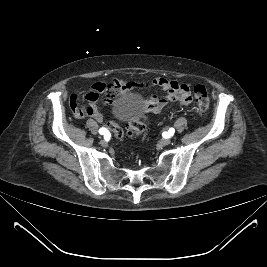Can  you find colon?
<instances>
[{
    "mask_svg": "<svg viewBox=\"0 0 267 267\" xmlns=\"http://www.w3.org/2000/svg\"><path fill=\"white\" fill-rule=\"evenodd\" d=\"M194 96L197 109L200 112H206L209 109L210 104L206 88L203 85H196L194 87ZM108 127L118 139L124 137V133L117 121L111 120L108 123ZM145 130L146 126L144 124V119L141 117L140 119L130 121L127 136L133 139L143 134Z\"/></svg>",
    "mask_w": 267,
    "mask_h": 267,
    "instance_id": "obj_1",
    "label": "colon"
}]
</instances>
